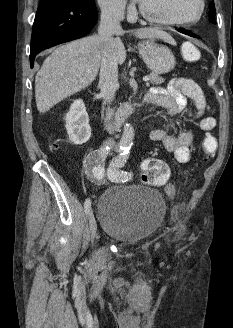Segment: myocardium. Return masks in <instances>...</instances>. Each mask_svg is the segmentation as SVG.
Instances as JSON below:
<instances>
[{"label": "myocardium", "mask_w": 233, "mask_h": 328, "mask_svg": "<svg viewBox=\"0 0 233 328\" xmlns=\"http://www.w3.org/2000/svg\"><path fill=\"white\" fill-rule=\"evenodd\" d=\"M199 3V10L197 15L191 19V20H187V21H178V20H168V19H163L157 16H154L150 13H148L144 7L141 5V3H139V12L141 14V16L148 20L149 22H152L154 24L157 25H162V26H177V27H189V26H193L195 24H197L203 17L204 12H205V0H198Z\"/></svg>", "instance_id": "f54148a6"}]
</instances>
